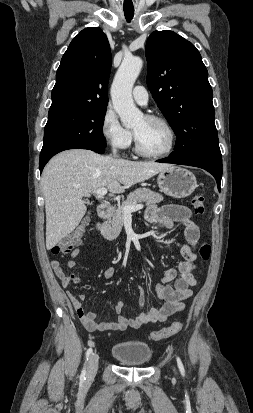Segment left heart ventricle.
Segmentation results:
<instances>
[{"mask_svg": "<svg viewBox=\"0 0 253 413\" xmlns=\"http://www.w3.org/2000/svg\"><path fill=\"white\" fill-rule=\"evenodd\" d=\"M133 131L140 146L147 152L163 151L169 144V134L165 127L146 118L140 119L133 127Z\"/></svg>", "mask_w": 253, "mask_h": 413, "instance_id": "left-heart-ventricle-1", "label": "left heart ventricle"}]
</instances>
